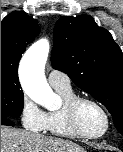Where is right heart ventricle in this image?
<instances>
[{"mask_svg": "<svg viewBox=\"0 0 123 152\" xmlns=\"http://www.w3.org/2000/svg\"><path fill=\"white\" fill-rule=\"evenodd\" d=\"M58 94L62 97L64 103L63 106L57 110H52L47 113V122L45 132L49 135L63 138H77L74 131L71 129L67 116L65 106L66 103L75 97V93L72 88L70 89H61L55 88Z\"/></svg>", "mask_w": 123, "mask_h": 152, "instance_id": "1", "label": "right heart ventricle"}]
</instances>
